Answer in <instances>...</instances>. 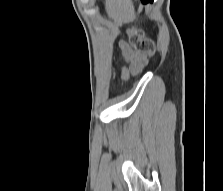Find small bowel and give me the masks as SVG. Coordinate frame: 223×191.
<instances>
[{"label":"small bowel","mask_w":223,"mask_h":191,"mask_svg":"<svg viewBox=\"0 0 223 191\" xmlns=\"http://www.w3.org/2000/svg\"><path fill=\"white\" fill-rule=\"evenodd\" d=\"M119 46L121 49L122 57L129 64L128 70H124L123 72L124 77H127L129 73H139L146 64V57L132 50L125 41H120Z\"/></svg>","instance_id":"obj_1"}]
</instances>
